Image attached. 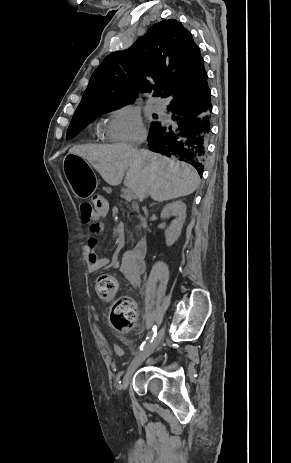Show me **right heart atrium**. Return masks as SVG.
I'll return each mask as SVG.
<instances>
[{
  "label": "right heart atrium",
  "mask_w": 291,
  "mask_h": 463,
  "mask_svg": "<svg viewBox=\"0 0 291 463\" xmlns=\"http://www.w3.org/2000/svg\"><path fill=\"white\" fill-rule=\"evenodd\" d=\"M146 131L138 109L124 105L113 110L103 127L102 135L113 142L135 143L145 137Z\"/></svg>",
  "instance_id": "right-heart-atrium-1"
}]
</instances>
